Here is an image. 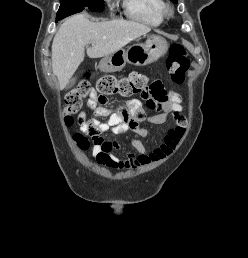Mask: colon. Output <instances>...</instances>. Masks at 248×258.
<instances>
[{
	"label": "colon",
	"instance_id": "colon-1",
	"mask_svg": "<svg viewBox=\"0 0 248 258\" xmlns=\"http://www.w3.org/2000/svg\"><path fill=\"white\" fill-rule=\"evenodd\" d=\"M189 69V58L184 47L175 43L170 47V53L167 58V70L170 78L177 84L184 82L187 70ZM148 77L140 72H132L123 78H116L113 75H105L101 77L97 84L96 90L99 93L98 102H103L106 96L120 95L123 97H130L133 95H149L163 99L164 96L157 95L156 82L151 86L148 85ZM162 93L165 89L162 84L159 85ZM92 87L86 76L79 84L71 90L65 97V103L62 109L63 119L65 123L72 124V115L77 113L83 106L84 99L90 94ZM74 140L81 150H87L90 141L84 134H74ZM99 136H94V142H99Z\"/></svg>",
	"mask_w": 248,
	"mask_h": 258
}]
</instances>
